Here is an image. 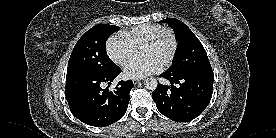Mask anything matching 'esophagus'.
<instances>
[{"mask_svg": "<svg viewBox=\"0 0 276 138\" xmlns=\"http://www.w3.org/2000/svg\"><path fill=\"white\" fill-rule=\"evenodd\" d=\"M141 81V79H137V78H133L132 79V82L134 83V84H137V83H139Z\"/></svg>", "mask_w": 276, "mask_h": 138, "instance_id": "34e87169", "label": "esophagus"}]
</instances>
